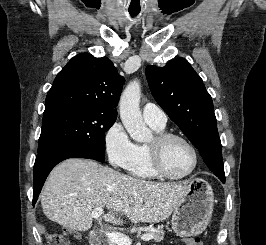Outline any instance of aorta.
<instances>
[{"label": "aorta", "instance_id": "1", "mask_svg": "<svg viewBox=\"0 0 266 245\" xmlns=\"http://www.w3.org/2000/svg\"><path fill=\"white\" fill-rule=\"evenodd\" d=\"M141 98V86L139 80H132L124 88L119 102L120 118L122 123L134 141H149L151 131L147 129L139 108Z\"/></svg>", "mask_w": 266, "mask_h": 245}]
</instances>
